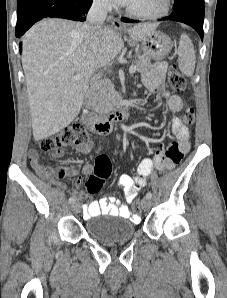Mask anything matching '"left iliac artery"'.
I'll list each match as a JSON object with an SVG mask.
<instances>
[{
  "mask_svg": "<svg viewBox=\"0 0 227 298\" xmlns=\"http://www.w3.org/2000/svg\"><path fill=\"white\" fill-rule=\"evenodd\" d=\"M146 197L151 199L152 198V193L151 192H147L146 193Z\"/></svg>",
  "mask_w": 227,
  "mask_h": 298,
  "instance_id": "left-iliac-artery-1",
  "label": "left iliac artery"
}]
</instances>
